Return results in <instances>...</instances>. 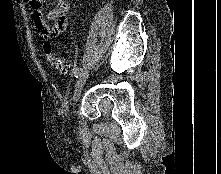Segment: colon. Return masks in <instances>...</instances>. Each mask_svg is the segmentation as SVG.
Here are the masks:
<instances>
[{
    "label": "colon",
    "mask_w": 221,
    "mask_h": 174,
    "mask_svg": "<svg viewBox=\"0 0 221 174\" xmlns=\"http://www.w3.org/2000/svg\"><path fill=\"white\" fill-rule=\"evenodd\" d=\"M46 40H48L49 38L44 37ZM43 50L45 52L46 55V59L48 61V63L55 69L60 70L61 72H66L68 69V64L66 62V60L64 58H62L61 56H59L58 54L54 53L52 50V46L50 44V42L46 41L43 44Z\"/></svg>",
    "instance_id": "1"
}]
</instances>
